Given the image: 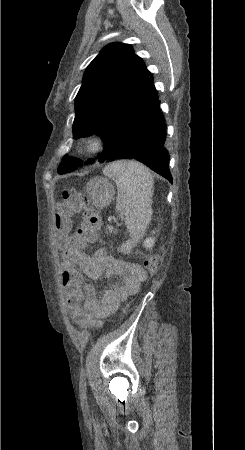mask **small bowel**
<instances>
[{"instance_id": "c3829d8e", "label": "small bowel", "mask_w": 245, "mask_h": 450, "mask_svg": "<svg viewBox=\"0 0 245 450\" xmlns=\"http://www.w3.org/2000/svg\"><path fill=\"white\" fill-rule=\"evenodd\" d=\"M61 269V280L67 289V311L82 328L100 327L102 319L113 314L119 303L136 292L145 278L140 266L112 258L105 248L91 255L67 250L62 254ZM83 274L91 278L121 276L124 280L98 297L95 287L84 281Z\"/></svg>"}]
</instances>
